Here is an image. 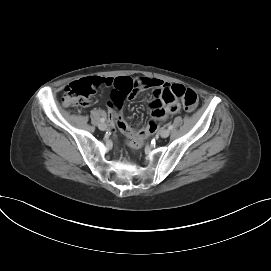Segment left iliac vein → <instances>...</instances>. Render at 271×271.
<instances>
[{
  "instance_id": "1",
  "label": "left iliac vein",
  "mask_w": 271,
  "mask_h": 271,
  "mask_svg": "<svg viewBox=\"0 0 271 271\" xmlns=\"http://www.w3.org/2000/svg\"><path fill=\"white\" fill-rule=\"evenodd\" d=\"M170 134V131L168 129H162L159 131V135L162 137V138H166L168 137Z\"/></svg>"
}]
</instances>
